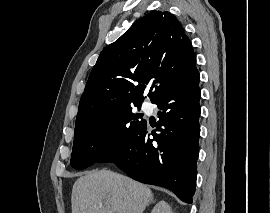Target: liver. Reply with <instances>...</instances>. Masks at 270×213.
<instances>
[{
  "mask_svg": "<svg viewBox=\"0 0 270 213\" xmlns=\"http://www.w3.org/2000/svg\"><path fill=\"white\" fill-rule=\"evenodd\" d=\"M152 191L131 178L99 170L78 178L72 188V213H143Z\"/></svg>",
  "mask_w": 270,
  "mask_h": 213,
  "instance_id": "6515ba94",
  "label": "liver"
}]
</instances>
